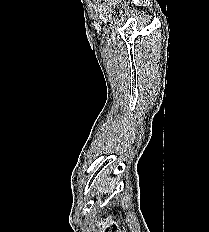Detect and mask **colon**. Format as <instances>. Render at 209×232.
I'll use <instances>...</instances> for the list:
<instances>
[{"instance_id": "1", "label": "colon", "mask_w": 209, "mask_h": 232, "mask_svg": "<svg viewBox=\"0 0 209 232\" xmlns=\"http://www.w3.org/2000/svg\"><path fill=\"white\" fill-rule=\"evenodd\" d=\"M103 232H119L117 227L112 221H106L102 225Z\"/></svg>"}]
</instances>
